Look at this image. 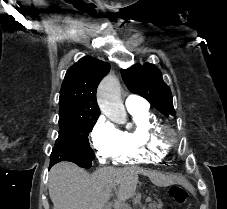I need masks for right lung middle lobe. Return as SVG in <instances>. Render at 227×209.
I'll list each match as a JSON object with an SVG mask.
<instances>
[{"mask_svg":"<svg viewBox=\"0 0 227 209\" xmlns=\"http://www.w3.org/2000/svg\"><path fill=\"white\" fill-rule=\"evenodd\" d=\"M99 116H59V137L50 156V167L61 161H70L90 168L95 157L88 135Z\"/></svg>","mask_w":227,"mask_h":209,"instance_id":"dd1d6c3e","label":"right lung middle lobe"}]
</instances>
